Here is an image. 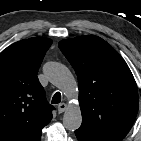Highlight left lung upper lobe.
<instances>
[{"label":"left lung upper lobe","mask_w":141,"mask_h":141,"mask_svg":"<svg viewBox=\"0 0 141 141\" xmlns=\"http://www.w3.org/2000/svg\"><path fill=\"white\" fill-rule=\"evenodd\" d=\"M59 48L78 77L82 112L78 131L96 141H121L139 105L136 82L126 62L94 35L62 40Z\"/></svg>","instance_id":"left-lung-upper-lobe-1"}]
</instances>
